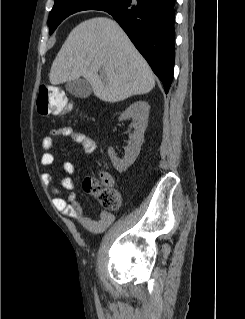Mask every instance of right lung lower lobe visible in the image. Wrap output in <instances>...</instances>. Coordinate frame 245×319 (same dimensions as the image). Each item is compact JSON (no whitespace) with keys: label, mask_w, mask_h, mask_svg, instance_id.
Listing matches in <instances>:
<instances>
[{"label":"right lung lower lobe","mask_w":245,"mask_h":319,"mask_svg":"<svg viewBox=\"0 0 245 319\" xmlns=\"http://www.w3.org/2000/svg\"><path fill=\"white\" fill-rule=\"evenodd\" d=\"M176 0H123L103 10L113 16L162 81L168 93L174 69Z\"/></svg>","instance_id":"98d812e1"}]
</instances>
